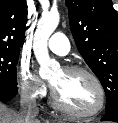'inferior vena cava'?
I'll use <instances>...</instances> for the list:
<instances>
[{
    "instance_id": "1",
    "label": "inferior vena cava",
    "mask_w": 118,
    "mask_h": 123,
    "mask_svg": "<svg viewBox=\"0 0 118 123\" xmlns=\"http://www.w3.org/2000/svg\"><path fill=\"white\" fill-rule=\"evenodd\" d=\"M21 117L24 119V123L36 122V117L39 113V108L36 103L34 91L30 87H24L21 91Z\"/></svg>"
}]
</instances>
